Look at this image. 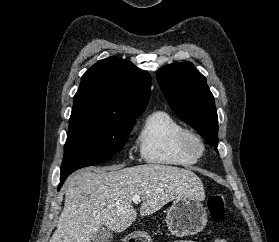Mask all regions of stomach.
I'll list each match as a JSON object with an SVG mask.
<instances>
[{"instance_id": "0dacf381", "label": "stomach", "mask_w": 279, "mask_h": 242, "mask_svg": "<svg viewBox=\"0 0 279 242\" xmlns=\"http://www.w3.org/2000/svg\"><path fill=\"white\" fill-rule=\"evenodd\" d=\"M166 224L175 236L195 235L207 224L206 208L194 197L177 198L167 211ZM130 239L136 242H150L149 236L144 232H135L130 235Z\"/></svg>"}]
</instances>
